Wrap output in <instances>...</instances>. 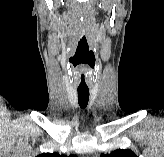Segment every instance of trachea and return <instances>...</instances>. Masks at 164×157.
I'll return each instance as SVG.
<instances>
[{
    "mask_svg": "<svg viewBox=\"0 0 164 157\" xmlns=\"http://www.w3.org/2000/svg\"><path fill=\"white\" fill-rule=\"evenodd\" d=\"M88 101H89V90L88 89H85V90L78 89L79 106L82 109L86 108V106L88 105Z\"/></svg>",
    "mask_w": 164,
    "mask_h": 157,
    "instance_id": "3493384b",
    "label": "trachea"
}]
</instances>
